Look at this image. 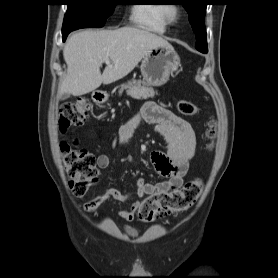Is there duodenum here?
<instances>
[{
  "label": "duodenum",
  "mask_w": 278,
  "mask_h": 278,
  "mask_svg": "<svg viewBox=\"0 0 278 278\" xmlns=\"http://www.w3.org/2000/svg\"><path fill=\"white\" fill-rule=\"evenodd\" d=\"M106 98V94L103 91H95L93 99L96 103H102Z\"/></svg>",
  "instance_id": "obj_1"
}]
</instances>
